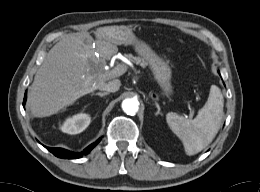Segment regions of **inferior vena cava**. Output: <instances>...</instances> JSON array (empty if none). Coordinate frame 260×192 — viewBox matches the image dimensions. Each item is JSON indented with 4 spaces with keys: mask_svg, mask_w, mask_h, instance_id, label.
<instances>
[{
    "mask_svg": "<svg viewBox=\"0 0 260 192\" xmlns=\"http://www.w3.org/2000/svg\"><path fill=\"white\" fill-rule=\"evenodd\" d=\"M121 86V82L119 79H114L106 83L103 87L100 88V90H104L107 92H116L119 90Z\"/></svg>",
    "mask_w": 260,
    "mask_h": 192,
    "instance_id": "1",
    "label": "inferior vena cava"
}]
</instances>
